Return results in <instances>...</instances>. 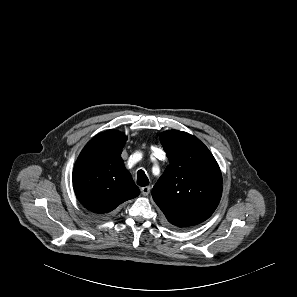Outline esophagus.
<instances>
[{
    "instance_id": "1",
    "label": "esophagus",
    "mask_w": 297,
    "mask_h": 297,
    "mask_svg": "<svg viewBox=\"0 0 297 297\" xmlns=\"http://www.w3.org/2000/svg\"><path fill=\"white\" fill-rule=\"evenodd\" d=\"M141 193L144 195V196H148L149 193H150V186H144L141 188Z\"/></svg>"
}]
</instances>
